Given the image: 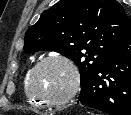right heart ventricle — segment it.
Masks as SVG:
<instances>
[{"instance_id":"right-heart-ventricle-1","label":"right heart ventricle","mask_w":131,"mask_h":115,"mask_svg":"<svg viewBox=\"0 0 131 115\" xmlns=\"http://www.w3.org/2000/svg\"><path fill=\"white\" fill-rule=\"evenodd\" d=\"M30 70L31 69H28L26 71V73L24 74V77L22 80V90H23V93L25 95L27 102L35 107H39V106H41V103L31 95V93L28 89V74H29Z\"/></svg>"}]
</instances>
